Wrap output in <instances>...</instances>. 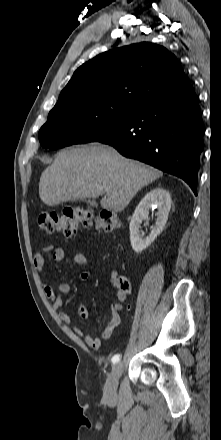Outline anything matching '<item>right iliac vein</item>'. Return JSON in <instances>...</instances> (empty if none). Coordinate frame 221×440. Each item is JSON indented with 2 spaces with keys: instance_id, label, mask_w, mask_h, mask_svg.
Wrapping results in <instances>:
<instances>
[{
  "instance_id": "right-iliac-vein-1",
  "label": "right iliac vein",
  "mask_w": 221,
  "mask_h": 440,
  "mask_svg": "<svg viewBox=\"0 0 221 440\" xmlns=\"http://www.w3.org/2000/svg\"><path fill=\"white\" fill-rule=\"evenodd\" d=\"M123 372V363L118 362L113 365L111 373L104 386V397L114 399L117 396L118 381Z\"/></svg>"
}]
</instances>
